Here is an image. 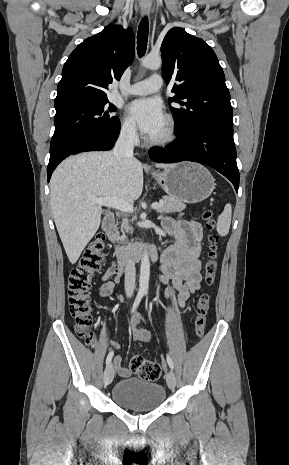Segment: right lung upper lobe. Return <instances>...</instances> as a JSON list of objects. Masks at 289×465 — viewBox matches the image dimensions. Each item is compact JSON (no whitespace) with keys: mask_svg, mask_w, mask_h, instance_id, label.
Wrapping results in <instances>:
<instances>
[{"mask_svg":"<svg viewBox=\"0 0 289 465\" xmlns=\"http://www.w3.org/2000/svg\"><path fill=\"white\" fill-rule=\"evenodd\" d=\"M134 35L120 25L107 26L84 40L68 57L55 105L107 99L108 84L120 80L134 59Z\"/></svg>","mask_w":289,"mask_h":465,"instance_id":"right-lung-upper-lobe-1","label":"right lung upper lobe"}]
</instances>
